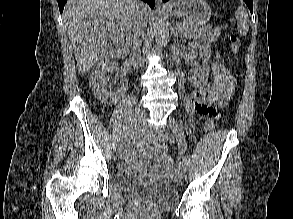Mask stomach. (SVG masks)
<instances>
[{
  "label": "stomach",
  "instance_id": "obj_1",
  "mask_svg": "<svg viewBox=\"0 0 293 219\" xmlns=\"http://www.w3.org/2000/svg\"><path fill=\"white\" fill-rule=\"evenodd\" d=\"M170 16L181 18L196 26L207 23L211 8L204 0H177L166 7Z\"/></svg>",
  "mask_w": 293,
  "mask_h": 219
}]
</instances>
